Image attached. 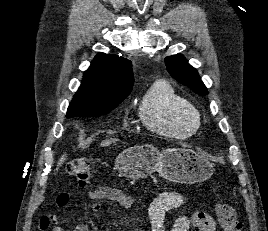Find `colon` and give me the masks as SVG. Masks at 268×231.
<instances>
[{"label":"colon","instance_id":"1","mask_svg":"<svg viewBox=\"0 0 268 231\" xmlns=\"http://www.w3.org/2000/svg\"><path fill=\"white\" fill-rule=\"evenodd\" d=\"M92 169L93 162L87 157L74 159L67 167L68 173L82 184L89 180ZM64 199H66V197H64ZM215 212L222 231H242V224L237 219L232 206L226 203H218L215 206Z\"/></svg>","mask_w":268,"mask_h":231}]
</instances>
